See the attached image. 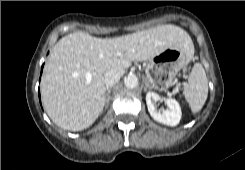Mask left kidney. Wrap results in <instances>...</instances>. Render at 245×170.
<instances>
[{
    "label": "left kidney",
    "instance_id": "5707ae66",
    "mask_svg": "<svg viewBox=\"0 0 245 170\" xmlns=\"http://www.w3.org/2000/svg\"><path fill=\"white\" fill-rule=\"evenodd\" d=\"M163 100L167 105V109L161 112L157 109V102ZM146 104L151 117L157 122L168 126L179 124L182 112L179 103L175 99H163L155 92H148L146 94Z\"/></svg>",
    "mask_w": 245,
    "mask_h": 170
}]
</instances>
